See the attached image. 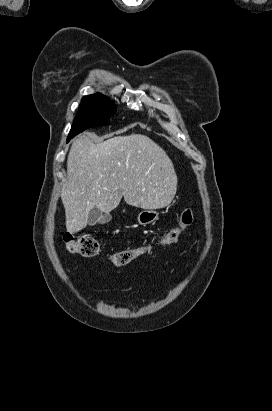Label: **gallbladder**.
<instances>
[{"label":"gallbladder","instance_id":"obj_1","mask_svg":"<svg viewBox=\"0 0 272 411\" xmlns=\"http://www.w3.org/2000/svg\"><path fill=\"white\" fill-rule=\"evenodd\" d=\"M109 217L104 218L103 212L99 208H93L90 210L88 215V225L94 226L98 223H106Z\"/></svg>","mask_w":272,"mask_h":411}]
</instances>
